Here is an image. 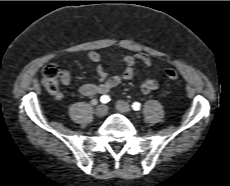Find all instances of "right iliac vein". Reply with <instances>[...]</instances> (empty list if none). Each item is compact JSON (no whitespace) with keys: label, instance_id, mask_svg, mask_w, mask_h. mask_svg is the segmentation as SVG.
Returning <instances> with one entry per match:
<instances>
[{"label":"right iliac vein","instance_id":"63e3f726","mask_svg":"<svg viewBox=\"0 0 230 186\" xmlns=\"http://www.w3.org/2000/svg\"><path fill=\"white\" fill-rule=\"evenodd\" d=\"M108 111V108L106 105L104 104H100L96 107L95 109V114L98 116V117H103Z\"/></svg>","mask_w":230,"mask_h":186}]
</instances>
